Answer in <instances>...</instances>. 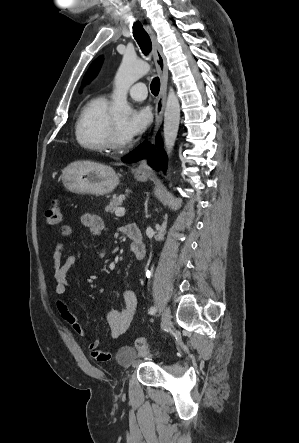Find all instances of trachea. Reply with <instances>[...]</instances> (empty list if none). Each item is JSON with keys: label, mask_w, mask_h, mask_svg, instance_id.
Masks as SVG:
<instances>
[{"label": "trachea", "mask_w": 299, "mask_h": 443, "mask_svg": "<svg viewBox=\"0 0 299 443\" xmlns=\"http://www.w3.org/2000/svg\"><path fill=\"white\" fill-rule=\"evenodd\" d=\"M133 36L143 54L146 56L149 55L152 49L151 40L148 33L143 29L142 25L139 22H135L133 25ZM150 89L153 95H158L160 90V80L158 77H155L152 80L150 84Z\"/></svg>", "instance_id": "3493384b"}]
</instances>
